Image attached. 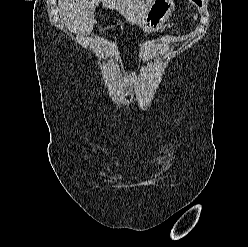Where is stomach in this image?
<instances>
[{
  "label": "stomach",
  "instance_id": "stomach-1",
  "mask_svg": "<svg viewBox=\"0 0 248 247\" xmlns=\"http://www.w3.org/2000/svg\"><path fill=\"white\" fill-rule=\"evenodd\" d=\"M174 9L173 0H153L138 25L144 33L155 32L162 27Z\"/></svg>",
  "mask_w": 248,
  "mask_h": 247
}]
</instances>
